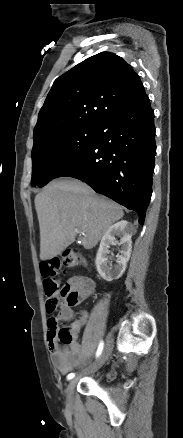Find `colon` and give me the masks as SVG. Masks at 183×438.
<instances>
[{
	"mask_svg": "<svg viewBox=\"0 0 183 438\" xmlns=\"http://www.w3.org/2000/svg\"><path fill=\"white\" fill-rule=\"evenodd\" d=\"M86 264L87 259L75 249H68L59 257L41 262L40 270L43 277L47 313L52 314L56 312L61 304L65 302L72 306L77 305L79 301L78 293L66 284L59 288L56 277L61 273L62 268H72ZM57 327V320L55 318L50 319L49 330L56 334L61 342L70 343L74 339L75 332L71 326L60 330Z\"/></svg>",
	"mask_w": 183,
	"mask_h": 438,
	"instance_id": "obj_1",
	"label": "colon"
}]
</instances>
